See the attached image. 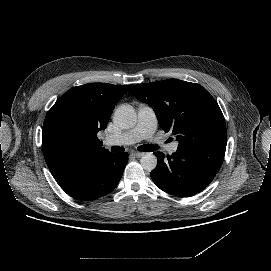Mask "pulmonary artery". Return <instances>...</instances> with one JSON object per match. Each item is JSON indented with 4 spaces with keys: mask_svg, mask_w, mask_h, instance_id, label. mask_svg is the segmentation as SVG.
I'll list each match as a JSON object with an SVG mask.
<instances>
[{
    "mask_svg": "<svg viewBox=\"0 0 271 271\" xmlns=\"http://www.w3.org/2000/svg\"><path fill=\"white\" fill-rule=\"evenodd\" d=\"M157 129V118L154 110L147 105H141L137 111L135 125L119 134L106 135L103 143L106 146H126L135 144L144 139H151ZM178 142H173L167 146L170 154L177 152Z\"/></svg>",
    "mask_w": 271,
    "mask_h": 271,
    "instance_id": "1",
    "label": "pulmonary artery"
}]
</instances>
